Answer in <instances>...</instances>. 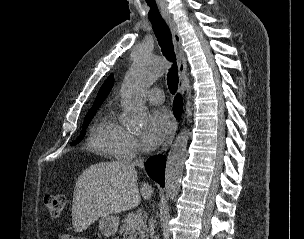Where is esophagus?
<instances>
[{
    "mask_svg": "<svg viewBox=\"0 0 304 239\" xmlns=\"http://www.w3.org/2000/svg\"><path fill=\"white\" fill-rule=\"evenodd\" d=\"M168 27L170 28L171 34H172V39H173V45H174V50L177 58V65H178V75H179V86H178V93L182 95L185 91V73H186V58L184 55V51L182 48L181 44V38L179 36L177 27L174 23V21L171 18H166L165 19ZM178 128V121L174 118L172 121L171 128L169 130L168 136L166 138V141L164 142L160 153L164 152L172 143L176 130Z\"/></svg>",
    "mask_w": 304,
    "mask_h": 239,
    "instance_id": "34e87169",
    "label": "esophagus"
}]
</instances>
